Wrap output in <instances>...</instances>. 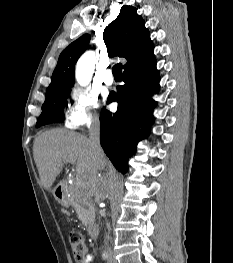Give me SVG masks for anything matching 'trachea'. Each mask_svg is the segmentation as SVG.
<instances>
[{
    "mask_svg": "<svg viewBox=\"0 0 233 263\" xmlns=\"http://www.w3.org/2000/svg\"><path fill=\"white\" fill-rule=\"evenodd\" d=\"M114 78H122V64H115L112 68Z\"/></svg>",
    "mask_w": 233,
    "mask_h": 263,
    "instance_id": "1",
    "label": "trachea"
}]
</instances>
